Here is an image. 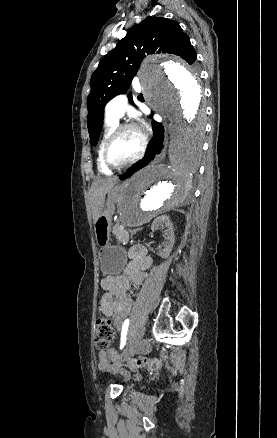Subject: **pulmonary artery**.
Segmentation results:
<instances>
[{
	"instance_id": "e3ab8cb5",
	"label": "pulmonary artery",
	"mask_w": 277,
	"mask_h": 438,
	"mask_svg": "<svg viewBox=\"0 0 277 438\" xmlns=\"http://www.w3.org/2000/svg\"><path fill=\"white\" fill-rule=\"evenodd\" d=\"M130 86L132 90H139L141 85L139 80L133 78V83ZM115 93L118 97L110 101L105 108V118L107 120L118 121L125 115L128 94L124 87H117Z\"/></svg>"
}]
</instances>
